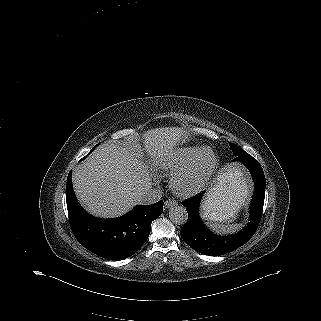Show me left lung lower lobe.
I'll return each mask as SVG.
<instances>
[{"instance_id":"0a47b994","label":"left lung lower lobe","mask_w":321,"mask_h":321,"mask_svg":"<svg viewBox=\"0 0 321 321\" xmlns=\"http://www.w3.org/2000/svg\"><path fill=\"white\" fill-rule=\"evenodd\" d=\"M234 161H240L247 166L255 183L250 206L251 222L242 231L231 236H219L210 232L199 217V204L203 193L183 202L188 212V220L181 228V237L191 248L205 255H223L242 246L253 236L261 220L266 186L263 169L259 162L246 152L236 156Z\"/></svg>"}]
</instances>
